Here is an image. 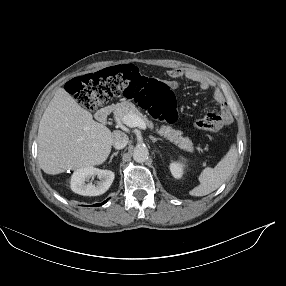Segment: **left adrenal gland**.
Instances as JSON below:
<instances>
[{"instance_id":"left-adrenal-gland-1","label":"left adrenal gland","mask_w":286,"mask_h":286,"mask_svg":"<svg viewBox=\"0 0 286 286\" xmlns=\"http://www.w3.org/2000/svg\"><path fill=\"white\" fill-rule=\"evenodd\" d=\"M149 138L152 140L153 143L157 142V141H162L161 138H155L153 136H149Z\"/></svg>"}]
</instances>
